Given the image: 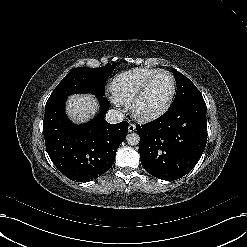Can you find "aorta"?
<instances>
[{
	"label": "aorta",
	"mask_w": 247,
	"mask_h": 247,
	"mask_svg": "<svg viewBox=\"0 0 247 247\" xmlns=\"http://www.w3.org/2000/svg\"><path fill=\"white\" fill-rule=\"evenodd\" d=\"M126 140L129 145H138L140 137L137 133H129L126 137Z\"/></svg>",
	"instance_id": "aorta-1"
}]
</instances>
